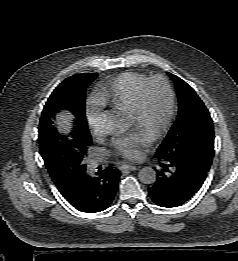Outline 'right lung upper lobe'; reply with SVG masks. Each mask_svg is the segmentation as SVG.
Here are the masks:
<instances>
[{
    "instance_id": "1",
    "label": "right lung upper lobe",
    "mask_w": 238,
    "mask_h": 261,
    "mask_svg": "<svg viewBox=\"0 0 238 261\" xmlns=\"http://www.w3.org/2000/svg\"><path fill=\"white\" fill-rule=\"evenodd\" d=\"M80 132V129L76 126L75 130H73L70 134L71 135H77ZM56 186H58L59 188H61V186H63L62 184H56Z\"/></svg>"
}]
</instances>
